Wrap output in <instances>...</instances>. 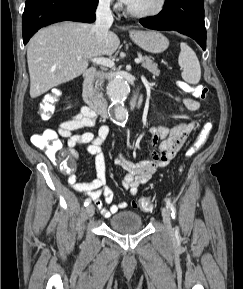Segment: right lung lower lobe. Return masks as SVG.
I'll return each mask as SVG.
<instances>
[{
  "instance_id": "98d812e1",
  "label": "right lung lower lobe",
  "mask_w": 243,
  "mask_h": 289,
  "mask_svg": "<svg viewBox=\"0 0 243 289\" xmlns=\"http://www.w3.org/2000/svg\"><path fill=\"white\" fill-rule=\"evenodd\" d=\"M98 0H26L23 13V42L43 26L65 21L93 22Z\"/></svg>"
}]
</instances>
